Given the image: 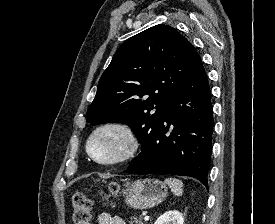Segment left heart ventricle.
Segmentation results:
<instances>
[{
	"instance_id": "left-heart-ventricle-1",
	"label": "left heart ventricle",
	"mask_w": 275,
	"mask_h": 224,
	"mask_svg": "<svg viewBox=\"0 0 275 224\" xmlns=\"http://www.w3.org/2000/svg\"><path fill=\"white\" fill-rule=\"evenodd\" d=\"M126 142L121 133L107 130L98 134L91 142V152L100 160L118 157L125 149Z\"/></svg>"
}]
</instances>
